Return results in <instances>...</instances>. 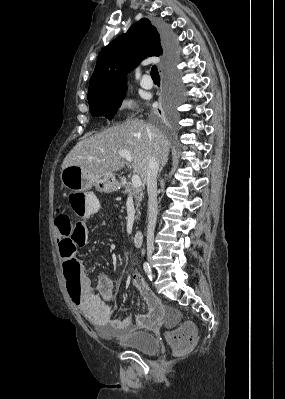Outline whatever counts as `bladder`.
I'll use <instances>...</instances> for the list:
<instances>
[{
	"label": "bladder",
	"mask_w": 285,
	"mask_h": 399,
	"mask_svg": "<svg viewBox=\"0 0 285 399\" xmlns=\"http://www.w3.org/2000/svg\"><path fill=\"white\" fill-rule=\"evenodd\" d=\"M99 333L106 335L104 328H99ZM123 347L137 350L144 354H156L159 350L158 343L153 333L133 332L127 337L116 339Z\"/></svg>",
	"instance_id": "obj_1"
}]
</instances>
